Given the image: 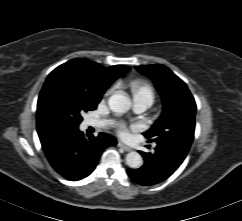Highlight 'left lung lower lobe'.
<instances>
[{"instance_id":"obj_1","label":"left lung lower lobe","mask_w":242,"mask_h":221,"mask_svg":"<svg viewBox=\"0 0 242 221\" xmlns=\"http://www.w3.org/2000/svg\"><path fill=\"white\" fill-rule=\"evenodd\" d=\"M188 150L176 144L160 143L155 153L141 152L144 164L138 169H128L130 178L142 186L158 184L170 177L184 161Z\"/></svg>"}]
</instances>
